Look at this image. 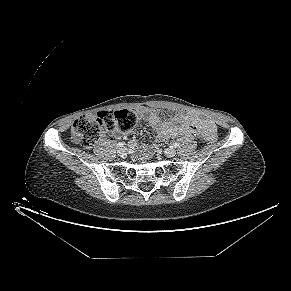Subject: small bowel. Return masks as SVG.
Returning <instances> with one entry per match:
<instances>
[{"label": "small bowel", "instance_id": "obj_1", "mask_svg": "<svg viewBox=\"0 0 291 291\" xmlns=\"http://www.w3.org/2000/svg\"><path fill=\"white\" fill-rule=\"evenodd\" d=\"M139 115L149 122L156 131L159 141H164L172 136L201 135L215 129L212 121L201 117L194 112H185L169 119H163L159 113L151 109H142ZM131 147L136 146V142L130 143Z\"/></svg>", "mask_w": 291, "mask_h": 291}]
</instances>
